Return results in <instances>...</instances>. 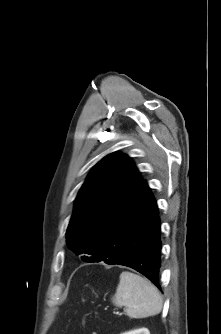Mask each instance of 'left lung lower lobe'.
I'll return each instance as SVG.
<instances>
[{
    "label": "left lung lower lobe",
    "instance_id": "0a47b994",
    "mask_svg": "<svg viewBox=\"0 0 221 334\" xmlns=\"http://www.w3.org/2000/svg\"><path fill=\"white\" fill-rule=\"evenodd\" d=\"M160 255L158 207L143 180L102 235L92 262L133 268L161 289Z\"/></svg>",
    "mask_w": 221,
    "mask_h": 334
}]
</instances>
